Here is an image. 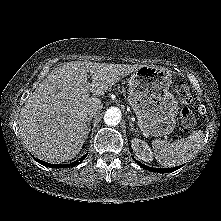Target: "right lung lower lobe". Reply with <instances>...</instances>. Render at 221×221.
Instances as JSON below:
<instances>
[{
    "label": "right lung lower lobe",
    "instance_id": "obj_1",
    "mask_svg": "<svg viewBox=\"0 0 221 221\" xmlns=\"http://www.w3.org/2000/svg\"><path fill=\"white\" fill-rule=\"evenodd\" d=\"M88 154V153H87ZM87 154H85L84 156H82L79 160L71 163V164H64V165H58V164H49L47 162H44L42 160L39 159H35L36 161L40 162L41 164H43L44 166H49L52 168H63V167H73L75 165H78L80 162H82L84 160V158L87 156Z\"/></svg>",
    "mask_w": 221,
    "mask_h": 221
}]
</instances>
